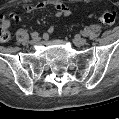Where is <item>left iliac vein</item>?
Wrapping results in <instances>:
<instances>
[{
    "instance_id": "4c4485c4",
    "label": "left iliac vein",
    "mask_w": 119,
    "mask_h": 119,
    "mask_svg": "<svg viewBox=\"0 0 119 119\" xmlns=\"http://www.w3.org/2000/svg\"><path fill=\"white\" fill-rule=\"evenodd\" d=\"M73 41L77 46H84L87 43V40L84 38H74Z\"/></svg>"
}]
</instances>
